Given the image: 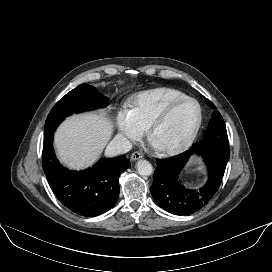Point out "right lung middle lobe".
Returning <instances> with one entry per match:
<instances>
[{
  "mask_svg": "<svg viewBox=\"0 0 272 272\" xmlns=\"http://www.w3.org/2000/svg\"><path fill=\"white\" fill-rule=\"evenodd\" d=\"M108 98L96 92V88L83 83L62 97L50 111L44 127V138L53 134L58 125L73 113H81L106 107Z\"/></svg>",
  "mask_w": 272,
  "mask_h": 272,
  "instance_id": "obj_1",
  "label": "right lung middle lobe"
}]
</instances>
